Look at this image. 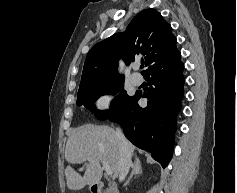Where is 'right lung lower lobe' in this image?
<instances>
[{"instance_id": "right-lung-lower-lobe-1", "label": "right lung lower lobe", "mask_w": 237, "mask_h": 193, "mask_svg": "<svg viewBox=\"0 0 237 193\" xmlns=\"http://www.w3.org/2000/svg\"><path fill=\"white\" fill-rule=\"evenodd\" d=\"M183 69L180 52L154 64L144 77L150 82L147 92H137L128 104L108 119L122 124L124 134L135 146L149 151L165 168L172 157L176 116L183 97ZM147 98V107L137 104Z\"/></svg>"}]
</instances>
